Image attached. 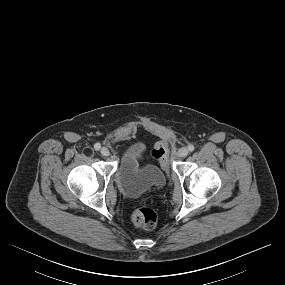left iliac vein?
Here are the masks:
<instances>
[{
    "label": "left iliac vein",
    "instance_id": "1",
    "mask_svg": "<svg viewBox=\"0 0 285 285\" xmlns=\"http://www.w3.org/2000/svg\"><path fill=\"white\" fill-rule=\"evenodd\" d=\"M188 153H189V150L186 147H183V148L179 149L178 156L180 158H183V157H186L188 155Z\"/></svg>",
    "mask_w": 285,
    "mask_h": 285
}]
</instances>
